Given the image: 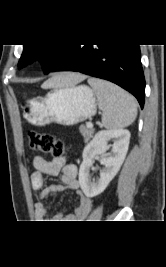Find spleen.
Returning <instances> with one entry per match:
<instances>
[{
	"label": "spleen",
	"mask_w": 166,
	"mask_h": 267,
	"mask_svg": "<svg viewBox=\"0 0 166 267\" xmlns=\"http://www.w3.org/2000/svg\"><path fill=\"white\" fill-rule=\"evenodd\" d=\"M88 83L96 93L99 109L103 111L104 127L120 129L134 122L137 116V102L132 95L105 80L90 78Z\"/></svg>",
	"instance_id": "spleen-1"
}]
</instances>
